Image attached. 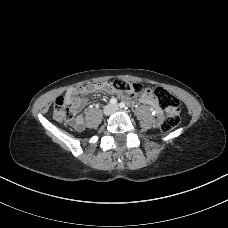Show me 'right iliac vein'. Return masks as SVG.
<instances>
[{"label": "right iliac vein", "mask_w": 228, "mask_h": 228, "mask_svg": "<svg viewBox=\"0 0 228 228\" xmlns=\"http://www.w3.org/2000/svg\"><path fill=\"white\" fill-rule=\"evenodd\" d=\"M111 112H112V106L107 105V106H105V107H104V109H103V113H104V115H105V116L110 115V114H111Z\"/></svg>", "instance_id": "right-iliac-vein-1"}]
</instances>
